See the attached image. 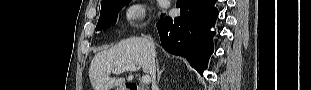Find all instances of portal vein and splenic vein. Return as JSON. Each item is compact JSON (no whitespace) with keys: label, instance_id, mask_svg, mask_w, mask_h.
<instances>
[{"label":"portal vein and splenic vein","instance_id":"1","mask_svg":"<svg viewBox=\"0 0 311 90\" xmlns=\"http://www.w3.org/2000/svg\"><path fill=\"white\" fill-rule=\"evenodd\" d=\"M138 70H139V68L137 66L132 65V66H125V67L114 69L112 72L114 74H120V73L125 72V71H135L136 72ZM142 82L144 84H149L151 82L150 76L149 75H144L142 77Z\"/></svg>","mask_w":311,"mask_h":90}]
</instances>
